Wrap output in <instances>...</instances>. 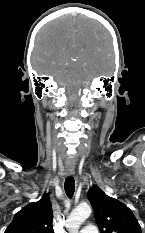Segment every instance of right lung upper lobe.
Instances as JSON below:
<instances>
[{
    "instance_id": "right-lung-upper-lobe-1",
    "label": "right lung upper lobe",
    "mask_w": 145,
    "mask_h": 233,
    "mask_svg": "<svg viewBox=\"0 0 145 233\" xmlns=\"http://www.w3.org/2000/svg\"><path fill=\"white\" fill-rule=\"evenodd\" d=\"M53 211L49 196L45 194L38 202H32L14 215L5 233H54Z\"/></svg>"
}]
</instances>
